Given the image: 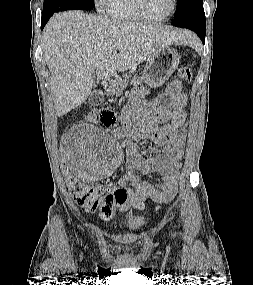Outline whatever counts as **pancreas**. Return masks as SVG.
Segmentation results:
<instances>
[{"instance_id": "obj_1", "label": "pancreas", "mask_w": 253, "mask_h": 285, "mask_svg": "<svg viewBox=\"0 0 253 285\" xmlns=\"http://www.w3.org/2000/svg\"><path fill=\"white\" fill-rule=\"evenodd\" d=\"M129 75L126 73L122 77H116L113 81V85L115 87V93L121 94L123 89L128 86Z\"/></svg>"}]
</instances>
